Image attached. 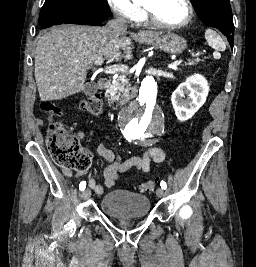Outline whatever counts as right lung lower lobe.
I'll return each mask as SVG.
<instances>
[{"mask_svg": "<svg viewBox=\"0 0 256 267\" xmlns=\"http://www.w3.org/2000/svg\"><path fill=\"white\" fill-rule=\"evenodd\" d=\"M104 20L105 19H101V18H91V17L81 16V17L59 19L55 22H50V23L45 24L44 27L41 25L40 26L42 28H48V27H51L52 25H59L62 23H73V24H82V25H99Z\"/></svg>", "mask_w": 256, "mask_h": 267, "instance_id": "98d812e1", "label": "right lung lower lobe"}]
</instances>
